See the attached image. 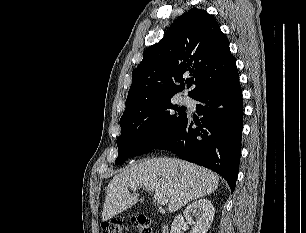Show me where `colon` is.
I'll return each mask as SVG.
<instances>
[{"instance_id":"1","label":"colon","mask_w":306,"mask_h":233,"mask_svg":"<svg viewBox=\"0 0 306 233\" xmlns=\"http://www.w3.org/2000/svg\"><path fill=\"white\" fill-rule=\"evenodd\" d=\"M139 233H151L149 223L145 217H137L132 220ZM125 228L122 219H112L102 225V233H123Z\"/></svg>"}]
</instances>
